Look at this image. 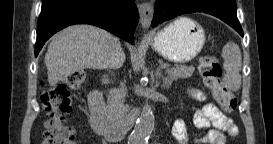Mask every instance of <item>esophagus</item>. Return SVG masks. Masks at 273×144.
Segmentation results:
<instances>
[{
    "label": "esophagus",
    "instance_id": "esophagus-1",
    "mask_svg": "<svg viewBox=\"0 0 273 144\" xmlns=\"http://www.w3.org/2000/svg\"><path fill=\"white\" fill-rule=\"evenodd\" d=\"M139 16H140V24L144 30H147L151 24V20L153 17V5L150 2H144L139 4Z\"/></svg>",
    "mask_w": 273,
    "mask_h": 144
}]
</instances>
